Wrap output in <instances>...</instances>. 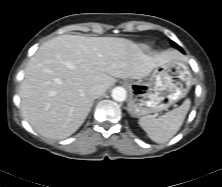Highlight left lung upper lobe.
<instances>
[{"mask_svg": "<svg viewBox=\"0 0 222 187\" xmlns=\"http://www.w3.org/2000/svg\"><path fill=\"white\" fill-rule=\"evenodd\" d=\"M171 45L174 46L175 48L181 50V48L173 41H171Z\"/></svg>", "mask_w": 222, "mask_h": 187, "instance_id": "5c2ea615", "label": "left lung upper lobe"}]
</instances>
